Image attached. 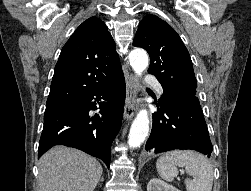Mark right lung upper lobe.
Wrapping results in <instances>:
<instances>
[{"instance_id":"1","label":"right lung upper lobe","mask_w":251,"mask_h":191,"mask_svg":"<svg viewBox=\"0 0 251 191\" xmlns=\"http://www.w3.org/2000/svg\"><path fill=\"white\" fill-rule=\"evenodd\" d=\"M123 74L103 21L90 17L66 42L55 66L46 110L67 106Z\"/></svg>"}]
</instances>
